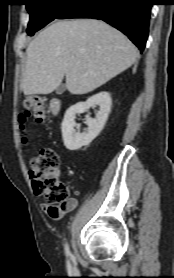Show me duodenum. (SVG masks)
Listing matches in <instances>:
<instances>
[{
    "label": "duodenum",
    "mask_w": 174,
    "mask_h": 278,
    "mask_svg": "<svg viewBox=\"0 0 174 278\" xmlns=\"http://www.w3.org/2000/svg\"><path fill=\"white\" fill-rule=\"evenodd\" d=\"M61 104L59 100H53L51 102L50 108L53 114H57L60 110Z\"/></svg>",
    "instance_id": "obj_1"
}]
</instances>
